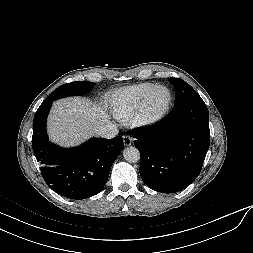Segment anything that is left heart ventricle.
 Masks as SVG:
<instances>
[{
	"mask_svg": "<svg viewBox=\"0 0 253 253\" xmlns=\"http://www.w3.org/2000/svg\"><path fill=\"white\" fill-rule=\"evenodd\" d=\"M168 99V92L161 88L155 91L150 101V109L152 111H158Z\"/></svg>",
	"mask_w": 253,
	"mask_h": 253,
	"instance_id": "left-heart-ventricle-1",
	"label": "left heart ventricle"
}]
</instances>
